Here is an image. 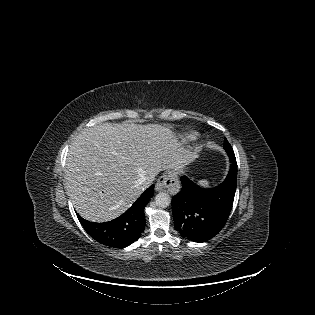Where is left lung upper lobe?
<instances>
[{"label":"left lung upper lobe","instance_id":"1","mask_svg":"<svg viewBox=\"0 0 315 315\" xmlns=\"http://www.w3.org/2000/svg\"><path fill=\"white\" fill-rule=\"evenodd\" d=\"M224 149L226 150V152H227V154H228V156L230 158V161L235 159L233 148L231 147V145L229 144L227 139L224 140Z\"/></svg>","mask_w":315,"mask_h":315}]
</instances>
